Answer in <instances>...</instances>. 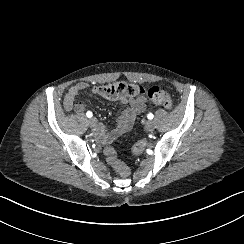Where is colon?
Masks as SVG:
<instances>
[{
	"label": "colon",
	"instance_id": "obj_1",
	"mask_svg": "<svg viewBox=\"0 0 244 244\" xmlns=\"http://www.w3.org/2000/svg\"><path fill=\"white\" fill-rule=\"evenodd\" d=\"M142 86L126 82L118 81L109 85H99L93 89L95 95L107 98L115 99L121 97L122 95L136 96L141 95L140 89ZM148 99L151 103L161 106L165 109H171L173 107V97L170 91L161 88L159 86H153L148 89L147 94ZM149 143L147 140L142 139L133 146L132 151L136 155H140L146 151ZM102 156L106 157L107 162L113 163L114 172L118 173L120 176H127L130 173V168L117 160V155L114 148L109 146H104L101 149Z\"/></svg>",
	"mask_w": 244,
	"mask_h": 244
}]
</instances>
